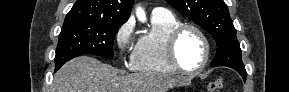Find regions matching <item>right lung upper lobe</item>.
Instances as JSON below:
<instances>
[{
    "instance_id": "right-lung-upper-lobe-1",
    "label": "right lung upper lobe",
    "mask_w": 289,
    "mask_h": 92,
    "mask_svg": "<svg viewBox=\"0 0 289 92\" xmlns=\"http://www.w3.org/2000/svg\"><path fill=\"white\" fill-rule=\"evenodd\" d=\"M134 0H77L65 18L67 21L125 23Z\"/></svg>"
}]
</instances>
